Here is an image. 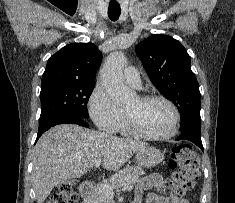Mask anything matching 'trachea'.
Instances as JSON below:
<instances>
[{"mask_svg": "<svg viewBox=\"0 0 235 203\" xmlns=\"http://www.w3.org/2000/svg\"><path fill=\"white\" fill-rule=\"evenodd\" d=\"M121 13V9H120V5L119 4H109V8H108V16L112 21H116Z\"/></svg>", "mask_w": 235, "mask_h": 203, "instance_id": "obj_1", "label": "trachea"}]
</instances>
